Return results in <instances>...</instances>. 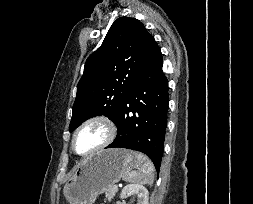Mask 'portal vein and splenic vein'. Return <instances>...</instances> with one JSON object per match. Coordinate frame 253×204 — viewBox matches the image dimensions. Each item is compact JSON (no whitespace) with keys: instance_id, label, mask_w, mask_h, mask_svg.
Masks as SVG:
<instances>
[{"instance_id":"1","label":"portal vein and splenic vein","mask_w":253,"mask_h":204,"mask_svg":"<svg viewBox=\"0 0 253 204\" xmlns=\"http://www.w3.org/2000/svg\"><path fill=\"white\" fill-rule=\"evenodd\" d=\"M114 188H115V189H118V186H117V185H114Z\"/></svg>"}]
</instances>
